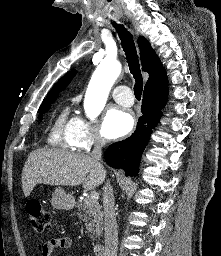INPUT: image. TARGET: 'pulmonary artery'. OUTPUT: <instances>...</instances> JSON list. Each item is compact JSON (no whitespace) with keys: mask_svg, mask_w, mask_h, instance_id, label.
Instances as JSON below:
<instances>
[{"mask_svg":"<svg viewBox=\"0 0 221 256\" xmlns=\"http://www.w3.org/2000/svg\"><path fill=\"white\" fill-rule=\"evenodd\" d=\"M112 96L113 99L122 106L129 107L134 102L131 89L125 85L116 86L112 91Z\"/></svg>","mask_w":221,"mask_h":256,"instance_id":"1","label":"pulmonary artery"}]
</instances>
